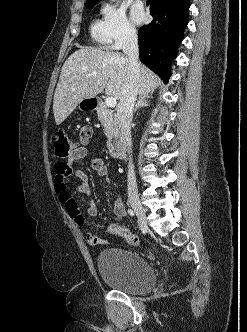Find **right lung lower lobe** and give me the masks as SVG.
<instances>
[{"label": "right lung lower lobe", "mask_w": 247, "mask_h": 332, "mask_svg": "<svg viewBox=\"0 0 247 332\" xmlns=\"http://www.w3.org/2000/svg\"><path fill=\"white\" fill-rule=\"evenodd\" d=\"M147 5L154 19L138 32L140 60L167 83L188 24L190 0H148Z\"/></svg>", "instance_id": "1"}]
</instances>
